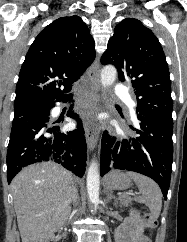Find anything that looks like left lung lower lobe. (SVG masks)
Masks as SVG:
<instances>
[{
    "instance_id": "left-lung-lower-lobe-1",
    "label": "left lung lower lobe",
    "mask_w": 187,
    "mask_h": 242,
    "mask_svg": "<svg viewBox=\"0 0 187 242\" xmlns=\"http://www.w3.org/2000/svg\"><path fill=\"white\" fill-rule=\"evenodd\" d=\"M137 136L117 139L105 131L101 142V176L112 168L141 173L157 182L167 199L173 162V121L137 114Z\"/></svg>"
}]
</instances>
